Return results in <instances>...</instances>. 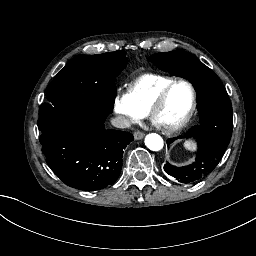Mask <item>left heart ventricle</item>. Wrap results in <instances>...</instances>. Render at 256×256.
<instances>
[{"mask_svg":"<svg viewBox=\"0 0 256 256\" xmlns=\"http://www.w3.org/2000/svg\"><path fill=\"white\" fill-rule=\"evenodd\" d=\"M191 104L190 88L185 83H178L170 91L165 103L152 112V117L161 123L164 131H169L185 117Z\"/></svg>","mask_w":256,"mask_h":256,"instance_id":"obj_1","label":"left heart ventricle"}]
</instances>
